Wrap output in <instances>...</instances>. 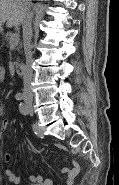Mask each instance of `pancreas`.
Masks as SVG:
<instances>
[{"label":"pancreas","mask_w":119,"mask_h":185,"mask_svg":"<svg viewBox=\"0 0 119 185\" xmlns=\"http://www.w3.org/2000/svg\"><path fill=\"white\" fill-rule=\"evenodd\" d=\"M12 35H13V33H10V32L6 33V34L4 35V40H5L6 42H9Z\"/></svg>","instance_id":"1"}]
</instances>
